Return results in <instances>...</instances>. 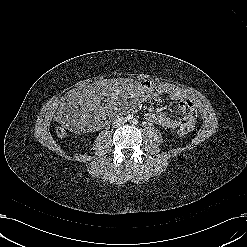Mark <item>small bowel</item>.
Returning a JSON list of instances; mask_svg holds the SVG:
<instances>
[{
	"instance_id": "1",
	"label": "small bowel",
	"mask_w": 247,
	"mask_h": 247,
	"mask_svg": "<svg viewBox=\"0 0 247 247\" xmlns=\"http://www.w3.org/2000/svg\"><path fill=\"white\" fill-rule=\"evenodd\" d=\"M151 84L159 85L161 87V90L163 91V95L168 96L171 100L175 101L178 104L179 117H170L165 112H153L146 115L147 120L151 123L168 129L187 127L189 130H192L195 126L196 119L193 102L185 94H183L179 88L172 84ZM152 100L155 99L152 98Z\"/></svg>"
}]
</instances>
